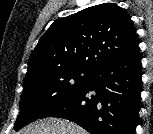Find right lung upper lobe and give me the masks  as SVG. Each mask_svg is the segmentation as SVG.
<instances>
[{
  "label": "right lung upper lobe",
  "mask_w": 153,
  "mask_h": 134,
  "mask_svg": "<svg viewBox=\"0 0 153 134\" xmlns=\"http://www.w3.org/2000/svg\"><path fill=\"white\" fill-rule=\"evenodd\" d=\"M138 46L128 14L115 3L55 20L30 55L26 77L61 67L94 71Z\"/></svg>",
  "instance_id": "obj_1"
}]
</instances>
